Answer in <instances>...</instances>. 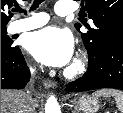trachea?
Instances as JSON below:
<instances>
[{"instance_id":"trachea-1","label":"trachea","mask_w":123,"mask_h":113,"mask_svg":"<svg viewBox=\"0 0 123 113\" xmlns=\"http://www.w3.org/2000/svg\"><path fill=\"white\" fill-rule=\"evenodd\" d=\"M44 0H34L33 5L31 7L32 10L36 9L39 7V5L43 2ZM13 11H20V12H25L23 9H21L19 6L13 9Z\"/></svg>"}]
</instances>
